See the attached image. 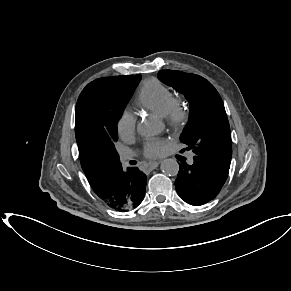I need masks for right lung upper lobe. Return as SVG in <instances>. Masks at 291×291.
Listing matches in <instances>:
<instances>
[{"label":"right lung upper lobe","instance_id":"cb5924a9","mask_svg":"<svg viewBox=\"0 0 291 291\" xmlns=\"http://www.w3.org/2000/svg\"><path fill=\"white\" fill-rule=\"evenodd\" d=\"M75 115V136L82 169L94 192L102 200H106L113 188L110 174L120 165L119 158L116 159L99 148L93 135L94 112L79 98Z\"/></svg>","mask_w":291,"mask_h":291}]
</instances>
